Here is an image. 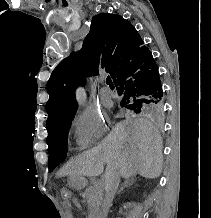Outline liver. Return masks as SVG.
<instances>
[{"instance_id": "1", "label": "liver", "mask_w": 211, "mask_h": 218, "mask_svg": "<svg viewBox=\"0 0 211 218\" xmlns=\"http://www.w3.org/2000/svg\"><path fill=\"white\" fill-rule=\"evenodd\" d=\"M161 162L162 140L157 130L143 118H127L116 124L98 148L76 156L63 172L67 176L75 168L80 176H100L107 164L106 172H117L122 178L136 174L157 178Z\"/></svg>"}]
</instances>
